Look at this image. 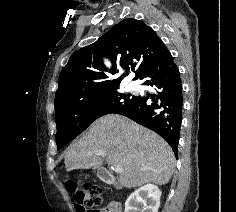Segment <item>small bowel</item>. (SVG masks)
Here are the masks:
<instances>
[{"label": "small bowel", "instance_id": "obj_1", "mask_svg": "<svg viewBox=\"0 0 236 212\" xmlns=\"http://www.w3.org/2000/svg\"><path fill=\"white\" fill-rule=\"evenodd\" d=\"M103 212H121V207L118 203H110Z\"/></svg>", "mask_w": 236, "mask_h": 212}]
</instances>
